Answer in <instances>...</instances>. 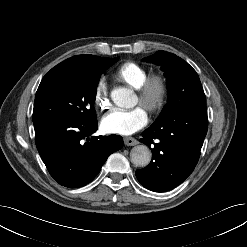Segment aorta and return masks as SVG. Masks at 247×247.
I'll return each mask as SVG.
<instances>
[{
  "instance_id": "762f6f07",
  "label": "aorta",
  "mask_w": 247,
  "mask_h": 247,
  "mask_svg": "<svg viewBox=\"0 0 247 247\" xmlns=\"http://www.w3.org/2000/svg\"><path fill=\"white\" fill-rule=\"evenodd\" d=\"M134 97L132 90L125 87L116 88L111 92L113 102L120 107H130ZM130 159L135 166L145 167L151 161V151L145 145L135 146L131 150Z\"/></svg>"
}]
</instances>
